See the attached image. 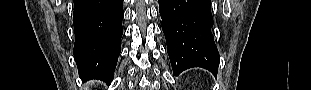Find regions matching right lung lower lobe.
<instances>
[{"instance_id": "right-lung-lower-lobe-1", "label": "right lung lower lobe", "mask_w": 311, "mask_h": 90, "mask_svg": "<svg viewBox=\"0 0 311 90\" xmlns=\"http://www.w3.org/2000/svg\"><path fill=\"white\" fill-rule=\"evenodd\" d=\"M123 15V0H74L73 53L81 79L113 80Z\"/></svg>"}]
</instances>
